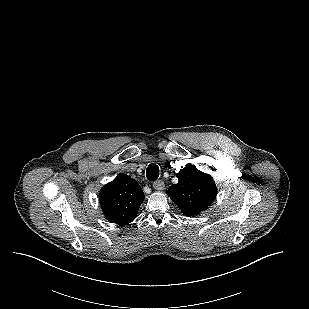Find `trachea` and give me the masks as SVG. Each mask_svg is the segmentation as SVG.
Here are the masks:
<instances>
[{
	"instance_id": "obj_1",
	"label": "trachea",
	"mask_w": 309,
	"mask_h": 309,
	"mask_svg": "<svg viewBox=\"0 0 309 309\" xmlns=\"http://www.w3.org/2000/svg\"><path fill=\"white\" fill-rule=\"evenodd\" d=\"M147 179L155 181L159 177V167L156 164H150L146 170Z\"/></svg>"
}]
</instances>
